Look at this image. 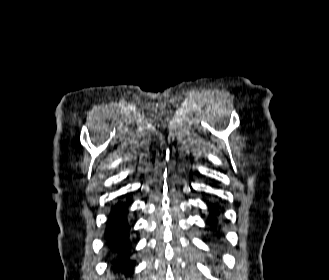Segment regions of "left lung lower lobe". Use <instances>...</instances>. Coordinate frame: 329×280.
Segmentation results:
<instances>
[{"instance_id":"1","label":"left lung lower lobe","mask_w":329,"mask_h":280,"mask_svg":"<svg viewBox=\"0 0 329 280\" xmlns=\"http://www.w3.org/2000/svg\"><path fill=\"white\" fill-rule=\"evenodd\" d=\"M209 208H210V214L211 215H214L215 213H217V207L216 206L213 207V205H210ZM213 227H214V223L212 224V228Z\"/></svg>"}]
</instances>
